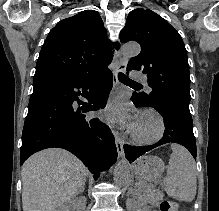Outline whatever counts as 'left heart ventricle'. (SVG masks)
I'll use <instances>...</instances> for the list:
<instances>
[{
    "instance_id": "obj_1",
    "label": "left heart ventricle",
    "mask_w": 219,
    "mask_h": 211,
    "mask_svg": "<svg viewBox=\"0 0 219 211\" xmlns=\"http://www.w3.org/2000/svg\"><path fill=\"white\" fill-rule=\"evenodd\" d=\"M154 124L155 122L152 118H146L142 121H139L137 127L142 131H150L153 128Z\"/></svg>"
}]
</instances>
